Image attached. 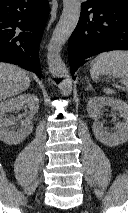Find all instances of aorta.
<instances>
[{
    "instance_id": "762f6f07",
    "label": "aorta",
    "mask_w": 128,
    "mask_h": 213,
    "mask_svg": "<svg viewBox=\"0 0 128 213\" xmlns=\"http://www.w3.org/2000/svg\"><path fill=\"white\" fill-rule=\"evenodd\" d=\"M81 13V0H63V12L60 20L53 31L47 47V62L49 71L54 78H60L59 89L63 95L70 93L72 82L65 63L62 61L60 52L62 46L74 31Z\"/></svg>"
}]
</instances>
